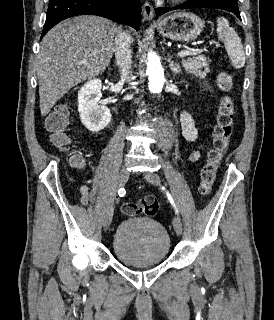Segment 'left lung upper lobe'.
I'll return each instance as SVG.
<instances>
[{"label": "left lung upper lobe", "instance_id": "1", "mask_svg": "<svg viewBox=\"0 0 274 320\" xmlns=\"http://www.w3.org/2000/svg\"><path fill=\"white\" fill-rule=\"evenodd\" d=\"M227 4H230V5H234V6H238V0H221Z\"/></svg>", "mask_w": 274, "mask_h": 320}]
</instances>
